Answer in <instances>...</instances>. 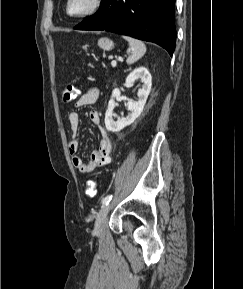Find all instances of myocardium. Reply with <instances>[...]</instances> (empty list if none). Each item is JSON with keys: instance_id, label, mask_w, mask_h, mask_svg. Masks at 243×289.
Instances as JSON below:
<instances>
[{"instance_id": "myocardium-1", "label": "myocardium", "mask_w": 243, "mask_h": 289, "mask_svg": "<svg viewBox=\"0 0 243 289\" xmlns=\"http://www.w3.org/2000/svg\"><path fill=\"white\" fill-rule=\"evenodd\" d=\"M72 0H67L66 1V13L74 18H84L90 15H93L95 13H97L102 5H103V0H92L91 1V5L89 6L88 9H86L85 11H82L80 13H73L70 10V5H71Z\"/></svg>"}]
</instances>
